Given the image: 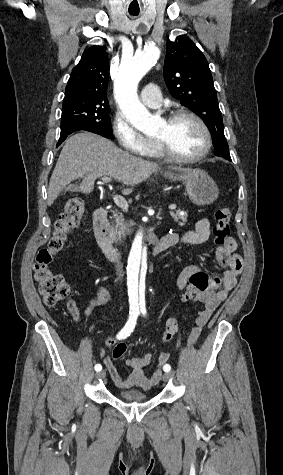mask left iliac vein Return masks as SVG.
I'll return each mask as SVG.
<instances>
[{"label":"left iliac vein","instance_id":"obj_1","mask_svg":"<svg viewBox=\"0 0 283 475\" xmlns=\"http://www.w3.org/2000/svg\"><path fill=\"white\" fill-rule=\"evenodd\" d=\"M171 378H172V373H165L162 376V379H163L164 382L169 381Z\"/></svg>","mask_w":283,"mask_h":475}]
</instances>
